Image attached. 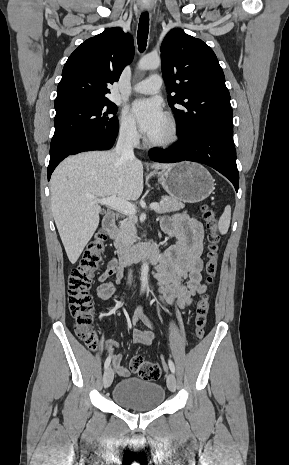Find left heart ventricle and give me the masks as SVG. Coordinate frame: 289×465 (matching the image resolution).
I'll return each instance as SVG.
<instances>
[{
    "mask_svg": "<svg viewBox=\"0 0 289 465\" xmlns=\"http://www.w3.org/2000/svg\"><path fill=\"white\" fill-rule=\"evenodd\" d=\"M165 131H166V123L164 124L162 129L157 134H155L154 136H152L150 138L151 139H160V138H162L164 136Z\"/></svg>",
    "mask_w": 289,
    "mask_h": 465,
    "instance_id": "obj_1",
    "label": "left heart ventricle"
}]
</instances>
